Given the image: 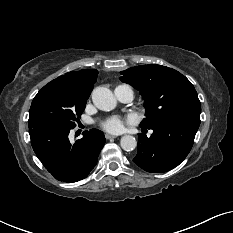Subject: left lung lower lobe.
<instances>
[{
    "label": "left lung lower lobe",
    "mask_w": 233,
    "mask_h": 233,
    "mask_svg": "<svg viewBox=\"0 0 233 233\" xmlns=\"http://www.w3.org/2000/svg\"><path fill=\"white\" fill-rule=\"evenodd\" d=\"M198 128L199 123L192 121L155 123L148 128L153 130L150 138L143 133L139 134L138 152L133 161L147 172L169 171L186 158Z\"/></svg>",
    "instance_id": "0a47b994"
}]
</instances>
